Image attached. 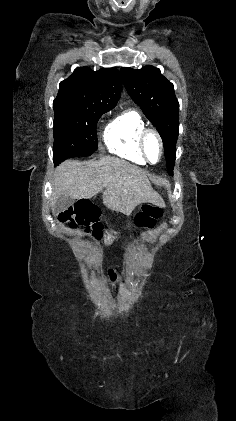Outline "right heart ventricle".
<instances>
[{"label":"right heart ventricle","instance_id":"e07e8e85","mask_svg":"<svg viewBox=\"0 0 236 421\" xmlns=\"http://www.w3.org/2000/svg\"><path fill=\"white\" fill-rule=\"evenodd\" d=\"M146 128L142 115L135 109H127L111 120L105 127L103 141L107 150L123 159L144 165L138 138Z\"/></svg>","mask_w":236,"mask_h":421}]
</instances>
